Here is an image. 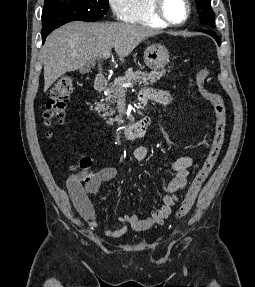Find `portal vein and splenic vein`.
I'll return each mask as SVG.
<instances>
[{
  "label": "portal vein and splenic vein",
  "instance_id": "obj_1",
  "mask_svg": "<svg viewBox=\"0 0 255 287\" xmlns=\"http://www.w3.org/2000/svg\"><path fill=\"white\" fill-rule=\"evenodd\" d=\"M110 56V52H105V54H102L101 58H103V60H108ZM121 86L122 88H132L133 84H130V82H128V84H121Z\"/></svg>",
  "mask_w": 255,
  "mask_h": 287
}]
</instances>
